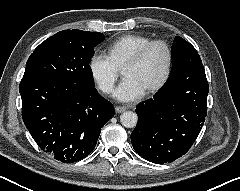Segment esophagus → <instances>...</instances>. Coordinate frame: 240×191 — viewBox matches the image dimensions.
<instances>
[{"label": "esophagus", "instance_id": "34e87169", "mask_svg": "<svg viewBox=\"0 0 240 191\" xmlns=\"http://www.w3.org/2000/svg\"><path fill=\"white\" fill-rule=\"evenodd\" d=\"M126 107H124V106H116L115 107V111L117 112V113H122V112H124V111H126Z\"/></svg>", "mask_w": 240, "mask_h": 191}]
</instances>
